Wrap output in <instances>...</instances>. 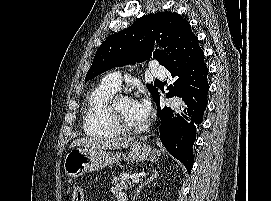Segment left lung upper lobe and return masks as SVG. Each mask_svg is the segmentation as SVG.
Segmentation results:
<instances>
[{
    "mask_svg": "<svg viewBox=\"0 0 271 201\" xmlns=\"http://www.w3.org/2000/svg\"><path fill=\"white\" fill-rule=\"evenodd\" d=\"M196 36L186 19L175 12H159L141 17L129 28L111 35L98 48L85 81L114 67L143 62L151 57L156 40L166 51L155 50L153 57L163 66L172 60L174 50L183 42ZM172 51L169 56L168 52ZM152 96L158 91L146 85Z\"/></svg>",
    "mask_w": 271,
    "mask_h": 201,
    "instance_id": "1",
    "label": "left lung upper lobe"
}]
</instances>
